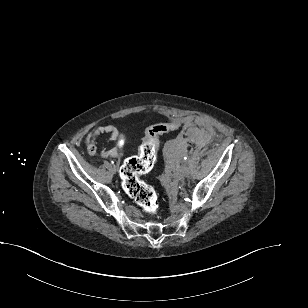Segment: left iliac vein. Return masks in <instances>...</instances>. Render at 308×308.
<instances>
[{
    "label": "left iliac vein",
    "instance_id": "1",
    "mask_svg": "<svg viewBox=\"0 0 308 308\" xmlns=\"http://www.w3.org/2000/svg\"><path fill=\"white\" fill-rule=\"evenodd\" d=\"M178 177L181 179L183 177H186L188 175V168L187 166H182L181 169L178 171Z\"/></svg>",
    "mask_w": 308,
    "mask_h": 308
}]
</instances>
